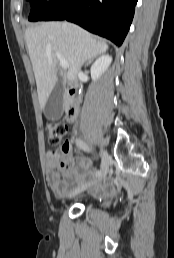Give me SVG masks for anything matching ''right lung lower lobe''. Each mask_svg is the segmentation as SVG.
Returning <instances> with one entry per match:
<instances>
[{
    "mask_svg": "<svg viewBox=\"0 0 174 258\" xmlns=\"http://www.w3.org/2000/svg\"><path fill=\"white\" fill-rule=\"evenodd\" d=\"M137 0H54L41 21L68 20L120 46Z\"/></svg>",
    "mask_w": 174,
    "mask_h": 258,
    "instance_id": "right-lung-lower-lobe-1",
    "label": "right lung lower lobe"
}]
</instances>
